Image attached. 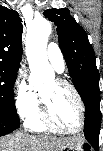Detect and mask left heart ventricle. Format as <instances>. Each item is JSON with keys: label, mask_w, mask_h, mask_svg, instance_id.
Here are the masks:
<instances>
[{"label": "left heart ventricle", "mask_w": 103, "mask_h": 151, "mask_svg": "<svg viewBox=\"0 0 103 151\" xmlns=\"http://www.w3.org/2000/svg\"><path fill=\"white\" fill-rule=\"evenodd\" d=\"M40 94L46 101L55 124L65 129L78 128L81 119L80 109L69 89L60 87L53 81L46 85Z\"/></svg>", "instance_id": "b2bd125f"}]
</instances>
